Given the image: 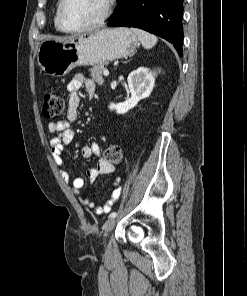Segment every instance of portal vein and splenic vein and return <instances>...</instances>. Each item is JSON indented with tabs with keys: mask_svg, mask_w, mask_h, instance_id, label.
<instances>
[{
	"mask_svg": "<svg viewBox=\"0 0 247 296\" xmlns=\"http://www.w3.org/2000/svg\"><path fill=\"white\" fill-rule=\"evenodd\" d=\"M103 75H104V76H108V75H109V71H108L107 69H105V70L103 71Z\"/></svg>",
	"mask_w": 247,
	"mask_h": 296,
	"instance_id": "obj_1",
	"label": "portal vein and splenic vein"
}]
</instances>
